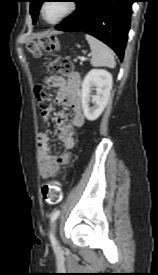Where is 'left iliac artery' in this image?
<instances>
[{
    "label": "left iliac artery",
    "instance_id": "1",
    "mask_svg": "<svg viewBox=\"0 0 158 275\" xmlns=\"http://www.w3.org/2000/svg\"><path fill=\"white\" fill-rule=\"evenodd\" d=\"M59 214H60V210H56L52 213V215H51V224L54 223V221L58 218ZM49 237H50V240H51L52 244L55 245L56 240H55V238H54V236L52 235L51 232L49 234Z\"/></svg>",
    "mask_w": 158,
    "mask_h": 275
}]
</instances>
